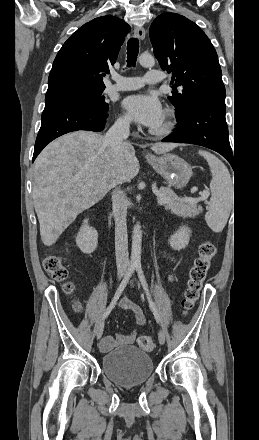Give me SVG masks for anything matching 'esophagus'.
<instances>
[{
	"label": "esophagus",
	"instance_id": "esophagus-1",
	"mask_svg": "<svg viewBox=\"0 0 259 440\" xmlns=\"http://www.w3.org/2000/svg\"><path fill=\"white\" fill-rule=\"evenodd\" d=\"M134 36L140 40L145 38V30L141 26H136L134 29Z\"/></svg>",
	"mask_w": 259,
	"mask_h": 440
}]
</instances>
